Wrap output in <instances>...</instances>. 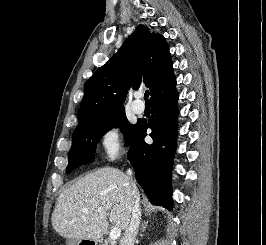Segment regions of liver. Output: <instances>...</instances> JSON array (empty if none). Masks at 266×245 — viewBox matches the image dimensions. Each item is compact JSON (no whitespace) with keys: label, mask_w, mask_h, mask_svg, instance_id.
Wrapping results in <instances>:
<instances>
[{"label":"liver","mask_w":266,"mask_h":245,"mask_svg":"<svg viewBox=\"0 0 266 245\" xmlns=\"http://www.w3.org/2000/svg\"><path fill=\"white\" fill-rule=\"evenodd\" d=\"M130 183L131 177L112 167L77 179L59 195L51 219L53 229L64 239L98 241L108 231L109 217L113 227L126 231L131 219Z\"/></svg>","instance_id":"6515ba94"}]
</instances>
